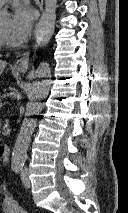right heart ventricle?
<instances>
[{
    "label": "right heart ventricle",
    "instance_id": "1",
    "mask_svg": "<svg viewBox=\"0 0 128 213\" xmlns=\"http://www.w3.org/2000/svg\"><path fill=\"white\" fill-rule=\"evenodd\" d=\"M1 46H2V41H1V39H0V49H1Z\"/></svg>",
    "mask_w": 128,
    "mask_h": 213
}]
</instances>
